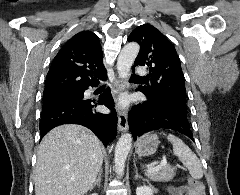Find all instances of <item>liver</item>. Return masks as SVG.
I'll list each match as a JSON object with an SVG mask.
<instances>
[{
    "label": "liver",
    "instance_id": "liver-1",
    "mask_svg": "<svg viewBox=\"0 0 240 195\" xmlns=\"http://www.w3.org/2000/svg\"><path fill=\"white\" fill-rule=\"evenodd\" d=\"M102 161V143L90 129L75 123L53 127L39 145L35 195H84Z\"/></svg>",
    "mask_w": 240,
    "mask_h": 195
}]
</instances>
